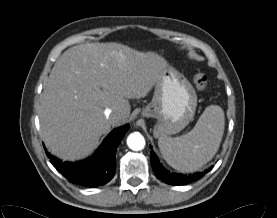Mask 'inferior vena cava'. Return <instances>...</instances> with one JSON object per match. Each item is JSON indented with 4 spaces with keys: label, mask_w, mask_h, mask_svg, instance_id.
I'll return each mask as SVG.
<instances>
[{
    "label": "inferior vena cava",
    "mask_w": 277,
    "mask_h": 218,
    "mask_svg": "<svg viewBox=\"0 0 277 218\" xmlns=\"http://www.w3.org/2000/svg\"><path fill=\"white\" fill-rule=\"evenodd\" d=\"M104 114H105V116H106L108 119H110V118L112 117V115H113V112H112L111 109L106 108L105 111H104Z\"/></svg>",
    "instance_id": "1"
}]
</instances>
